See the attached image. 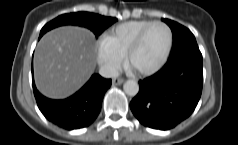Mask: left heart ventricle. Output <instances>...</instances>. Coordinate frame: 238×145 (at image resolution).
Here are the masks:
<instances>
[{
  "mask_svg": "<svg viewBox=\"0 0 238 145\" xmlns=\"http://www.w3.org/2000/svg\"><path fill=\"white\" fill-rule=\"evenodd\" d=\"M168 41L167 30L161 25L151 27L140 47L132 54L129 65L134 70L153 66L163 55Z\"/></svg>",
  "mask_w": 238,
  "mask_h": 145,
  "instance_id": "obj_1",
  "label": "left heart ventricle"
}]
</instances>
